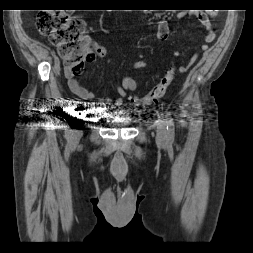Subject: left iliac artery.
<instances>
[{"label": "left iliac artery", "mask_w": 253, "mask_h": 253, "mask_svg": "<svg viewBox=\"0 0 253 253\" xmlns=\"http://www.w3.org/2000/svg\"><path fill=\"white\" fill-rule=\"evenodd\" d=\"M166 125H167V138L169 142H173L174 141V121L173 118L171 117L170 113L167 112L166 114Z\"/></svg>", "instance_id": "left-iliac-artery-1"}]
</instances>
